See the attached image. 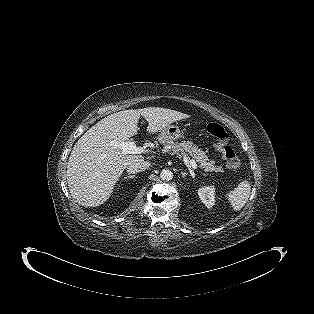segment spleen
Instances as JSON below:
<instances>
[{"label": "spleen", "mask_w": 314, "mask_h": 314, "mask_svg": "<svg viewBox=\"0 0 314 314\" xmlns=\"http://www.w3.org/2000/svg\"><path fill=\"white\" fill-rule=\"evenodd\" d=\"M251 193V184L247 180L241 181L234 190L227 194L228 201L234 211L241 210L247 203Z\"/></svg>", "instance_id": "spleen-1"}]
</instances>
